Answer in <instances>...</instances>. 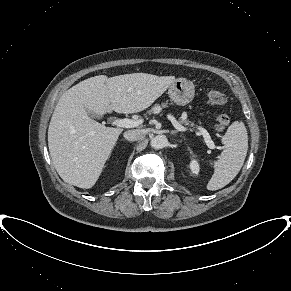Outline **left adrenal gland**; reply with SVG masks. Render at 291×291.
Listing matches in <instances>:
<instances>
[{
	"label": "left adrenal gland",
	"instance_id": "1",
	"mask_svg": "<svg viewBox=\"0 0 291 291\" xmlns=\"http://www.w3.org/2000/svg\"><path fill=\"white\" fill-rule=\"evenodd\" d=\"M177 133H178V131H171V132H170L171 135H175V134H177Z\"/></svg>",
	"mask_w": 291,
	"mask_h": 291
}]
</instances>
